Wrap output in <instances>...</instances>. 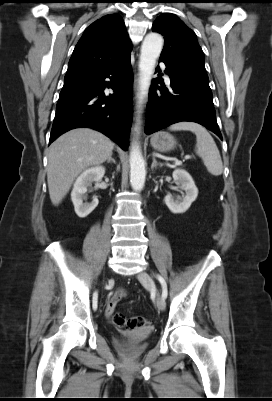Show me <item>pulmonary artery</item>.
<instances>
[{
	"mask_svg": "<svg viewBox=\"0 0 272 401\" xmlns=\"http://www.w3.org/2000/svg\"><path fill=\"white\" fill-rule=\"evenodd\" d=\"M165 80H166L167 82L169 81V78H168L167 75H165Z\"/></svg>",
	"mask_w": 272,
	"mask_h": 401,
	"instance_id": "obj_1",
	"label": "pulmonary artery"
}]
</instances>
